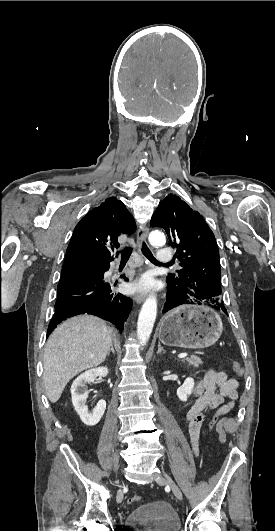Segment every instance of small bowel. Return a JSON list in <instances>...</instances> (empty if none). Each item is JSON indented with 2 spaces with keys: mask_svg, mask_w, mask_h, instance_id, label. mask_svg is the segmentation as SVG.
I'll list each match as a JSON object with an SVG mask.
<instances>
[{
  "mask_svg": "<svg viewBox=\"0 0 275 531\" xmlns=\"http://www.w3.org/2000/svg\"><path fill=\"white\" fill-rule=\"evenodd\" d=\"M238 387L237 379L229 378L224 371L215 369L206 370L194 383L185 422L195 448L207 413L215 410L212 418L216 421L228 413L238 398Z\"/></svg>",
  "mask_w": 275,
  "mask_h": 531,
  "instance_id": "obj_1",
  "label": "small bowel"
}]
</instances>
